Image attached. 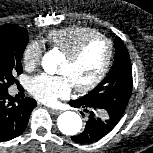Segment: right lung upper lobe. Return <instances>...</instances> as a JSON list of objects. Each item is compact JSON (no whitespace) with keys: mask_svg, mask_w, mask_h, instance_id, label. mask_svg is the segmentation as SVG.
<instances>
[{"mask_svg":"<svg viewBox=\"0 0 153 153\" xmlns=\"http://www.w3.org/2000/svg\"><path fill=\"white\" fill-rule=\"evenodd\" d=\"M25 29L19 27L18 25L14 24H6L3 26H0V33H17L24 31Z\"/></svg>","mask_w":153,"mask_h":153,"instance_id":"cb5924a9","label":"right lung upper lobe"}]
</instances>
